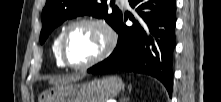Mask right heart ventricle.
<instances>
[{"mask_svg": "<svg viewBox=\"0 0 221 102\" xmlns=\"http://www.w3.org/2000/svg\"><path fill=\"white\" fill-rule=\"evenodd\" d=\"M64 28L65 27L61 28L58 31V33L55 36V38L53 40V43H52V53H53L55 62H56L58 67H64V65H63V63L61 61V58H60V53H59V45H60V40H61L63 31H64Z\"/></svg>", "mask_w": 221, "mask_h": 102, "instance_id": "obj_1", "label": "right heart ventricle"}]
</instances>
